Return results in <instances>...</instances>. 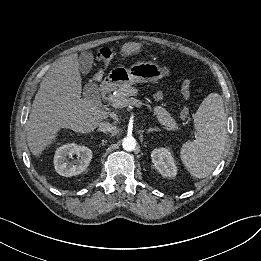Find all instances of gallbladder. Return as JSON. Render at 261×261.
I'll list each match as a JSON object with an SVG mask.
<instances>
[{
  "label": "gallbladder",
  "instance_id": "bac80fb5",
  "mask_svg": "<svg viewBox=\"0 0 261 261\" xmlns=\"http://www.w3.org/2000/svg\"><path fill=\"white\" fill-rule=\"evenodd\" d=\"M93 63L91 54H82L79 59V70L86 75L90 72ZM84 96L92 102H97L100 98L98 87L96 84L90 83L84 87Z\"/></svg>",
  "mask_w": 261,
  "mask_h": 261
}]
</instances>
